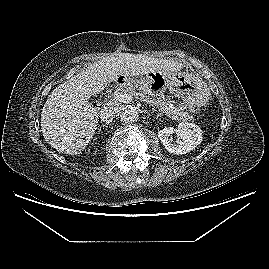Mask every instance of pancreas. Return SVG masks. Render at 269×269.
I'll list each match as a JSON object with an SVG mask.
<instances>
[{
  "label": "pancreas",
  "mask_w": 269,
  "mask_h": 269,
  "mask_svg": "<svg viewBox=\"0 0 269 269\" xmlns=\"http://www.w3.org/2000/svg\"><path fill=\"white\" fill-rule=\"evenodd\" d=\"M123 92L135 96L136 98H139L142 101L146 100L151 101L154 106H156L162 113H164L169 118L176 120L185 119L183 115H181L177 107H175V105H173L169 99L159 97L157 99L151 100V98H149L146 94L137 92L134 84L126 86L123 89Z\"/></svg>",
  "instance_id": "pancreas-1"
}]
</instances>
